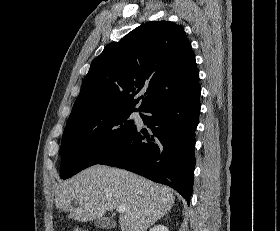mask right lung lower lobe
<instances>
[{"label":"right lung lower lobe","mask_w":280,"mask_h":231,"mask_svg":"<svg viewBox=\"0 0 280 231\" xmlns=\"http://www.w3.org/2000/svg\"><path fill=\"white\" fill-rule=\"evenodd\" d=\"M201 88L159 102L141 115L149 136L135 129L99 164L123 168L175 189L188 205L195 168Z\"/></svg>","instance_id":"right-lung-lower-lobe-1"}]
</instances>
